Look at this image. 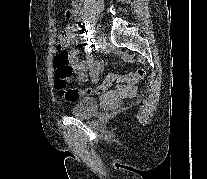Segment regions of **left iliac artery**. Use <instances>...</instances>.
Listing matches in <instances>:
<instances>
[{
  "label": "left iliac artery",
  "instance_id": "1",
  "mask_svg": "<svg viewBox=\"0 0 207 179\" xmlns=\"http://www.w3.org/2000/svg\"><path fill=\"white\" fill-rule=\"evenodd\" d=\"M92 39H93V40H98V39H99V36H98V30H97V29H94V30H93Z\"/></svg>",
  "mask_w": 207,
  "mask_h": 179
}]
</instances>
